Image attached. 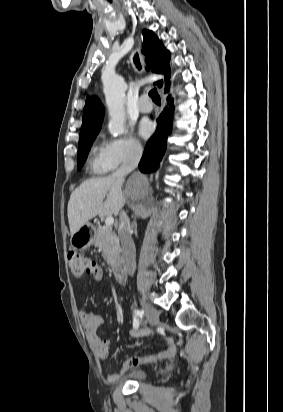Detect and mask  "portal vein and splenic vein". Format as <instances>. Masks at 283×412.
Here are the masks:
<instances>
[{
	"instance_id": "obj_1",
	"label": "portal vein and splenic vein",
	"mask_w": 283,
	"mask_h": 412,
	"mask_svg": "<svg viewBox=\"0 0 283 412\" xmlns=\"http://www.w3.org/2000/svg\"><path fill=\"white\" fill-rule=\"evenodd\" d=\"M114 224V218L113 217H107L105 219V225L107 227H111Z\"/></svg>"
}]
</instances>
